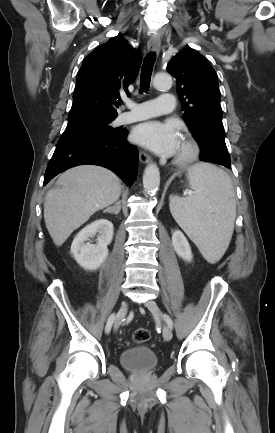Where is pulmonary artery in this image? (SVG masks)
I'll list each match as a JSON object with an SVG mask.
<instances>
[{"label": "pulmonary artery", "instance_id": "pulmonary-artery-1", "mask_svg": "<svg viewBox=\"0 0 275 433\" xmlns=\"http://www.w3.org/2000/svg\"><path fill=\"white\" fill-rule=\"evenodd\" d=\"M129 111L119 116L121 124H127L153 116L170 114L175 108V98L171 93H162L159 97L141 103L128 102Z\"/></svg>", "mask_w": 275, "mask_h": 433}]
</instances>
